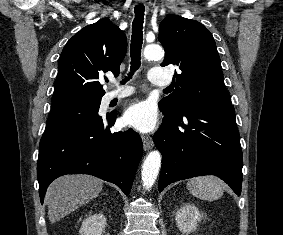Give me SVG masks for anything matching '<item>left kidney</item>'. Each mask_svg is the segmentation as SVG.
I'll return each instance as SVG.
<instances>
[{
    "instance_id": "1",
    "label": "left kidney",
    "mask_w": 283,
    "mask_h": 235,
    "mask_svg": "<svg viewBox=\"0 0 283 235\" xmlns=\"http://www.w3.org/2000/svg\"><path fill=\"white\" fill-rule=\"evenodd\" d=\"M203 215L198 208L192 204H186L176 212V224L180 231L188 233L196 229L197 223L201 221Z\"/></svg>"
}]
</instances>
